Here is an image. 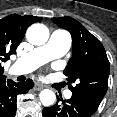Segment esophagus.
<instances>
[{
	"mask_svg": "<svg viewBox=\"0 0 117 117\" xmlns=\"http://www.w3.org/2000/svg\"><path fill=\"white\" fill-rule=\"evenodd\" d=\"M43 88H44V86L41 85V84H35V87H34V89H35L36 91H40V90H42Z\"/></svg>",
	"mask_w": 117,
	"mask_h": 117,
	"instance_id": "1",
	"label": "esophagus"
}]
</instances>
